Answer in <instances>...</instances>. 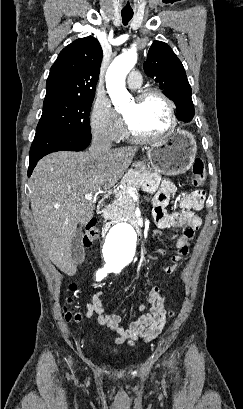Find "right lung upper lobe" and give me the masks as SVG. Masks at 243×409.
<instances>
[{"instance_id":"obj_1","label":"right lung upper lobe","mask_w":243,"mask_h":409,"mask_svg":"<svg viewBox=\"0 0 243 409\" xmlns=\"http://www.w3.org/2000/svg\"><path fill=\"white\" fill-rule=\"evenodd\" d=\"M102 55L93 36L65 47L50 69L44 101L94 97Z\"/></svg>"}]
</instances>
